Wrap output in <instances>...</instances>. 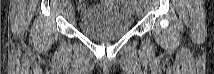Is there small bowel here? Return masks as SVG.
<instances>
[{"instance_id":"small-bowel-1","label":"small bowel","mask_w":214,"mask_h":74,"mask_svg":"<svg viewBox=\"0 0 214 74\" xmlns=\"http://www.w3.org/2000/svg\"><path fill=\"white\" fill-rule=\"evenodd\" d=\"M123 6H125V7L129 8V6H128V5H123ZM78 9H79V11H83V10L85 9V5H84V3H80V4L78 5Z\"/></svg>"}]
</instances>
